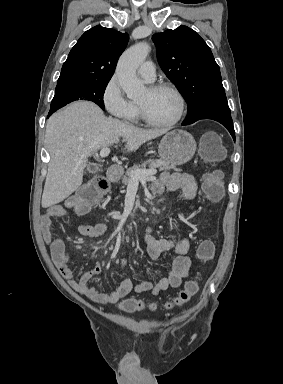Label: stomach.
Wrapping results in <instances>:
<instances>
[{
	"instance_id": "1",
	"label": "stomach",
	"mask_w": 283,
	"mask_h": 384,
	"mask_svg": "<svg viewBox=\"0 0 283 384\" xmlns=\"http://www.w3.org/2000/svg\"><path fill=\"white\" fill-rule=\"evenodd\" d=\"M195 152L196 142L193 136L184 130H172L165 134L158 148L161 160L170 162L174 166L186 164L193 158Z\"/></svg>"
}]
</instances>
